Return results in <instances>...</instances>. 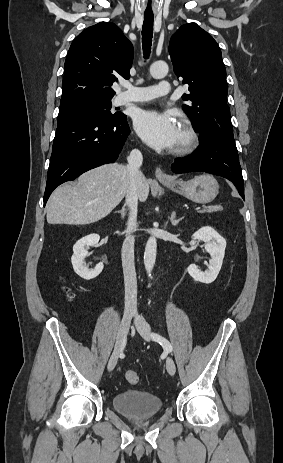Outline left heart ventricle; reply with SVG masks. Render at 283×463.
Wrapping results in <instances>:
<instances>
[{
	"label": "left heart ventricle",
	"instance_id": "left-heart-ventricle-1",
	"mask_svg": "<svg viewBox=\"0 0 283 463\" xmlns=\"http://www.w3.org/2000/svg\"><path fill=\"white\" fill-rule=\"evenodd\" d=\"M182 139H183V134H182V132H181L179 126H178V130H177V139H176V144H175V146H176L177 144H179V143L182 141Z\"/></svg>",
	"mask_w": 283,
	"mask_h": 463
}]
</instances>
